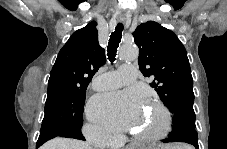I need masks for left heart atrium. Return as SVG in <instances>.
Listing matches in <instances>:
<instances>
[{
	"label": "left heart atrium",
	"instance_id": "1",
	"mask_svg": "<svg viewBox=\"0 0 227 149\" xmlns=\"http://www.w3.org/2000/svg\"><path fill=\"white\" fill-rule=\"evenodd\" d=\"M140 102L141 96L135 91L99 94L90 101L88 114L112 131H125L134 126Z\"/></svg>",
	"mask_w": 227,
	"mask_h": 149
}]
</instances>
